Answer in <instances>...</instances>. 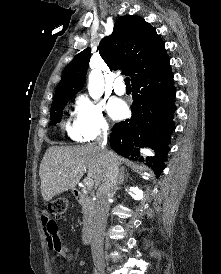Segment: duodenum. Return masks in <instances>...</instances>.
<instances>
[{
	"mask_svg": "<svg viewBox=\"0 0 221 274\" xmlns=\"http://www.w3.org/2000/svg\"><path fill=\"white\" fill-rule=\"evenodd\" d=\"M73 193L76 200L80 204H83L86 206V211L84 214V228L82 233V242L83 244H88L91 239L92 228H93V223H94L95 214H96L95 203L89 195L85 194L81 190L75 189Z\"/></svg>",
	"mask_w": 221,
	"mask_h": 274,
	"instance_id": "obj_1",
	"label": "duodenum"
}]
</instances>
